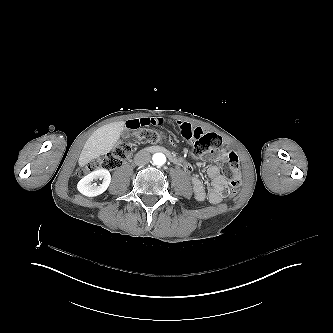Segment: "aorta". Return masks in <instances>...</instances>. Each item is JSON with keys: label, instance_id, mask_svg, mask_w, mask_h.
<instances>
[{"label": "aorta", "instance_id": "obj_1", "mask_svg": "<svg viewBox=\"0 0 333 333\" xmlns=\"http://www.w3.org/2000/svg\"><path fill=\"white\" fill-rule=\"evenodd\" d=\"M155 165H163L166 162V156L163 153H155L152 157Z\"/></svg>", "mask_w": 333, "mask_h": 333}]
</instances>
